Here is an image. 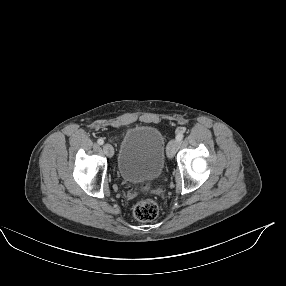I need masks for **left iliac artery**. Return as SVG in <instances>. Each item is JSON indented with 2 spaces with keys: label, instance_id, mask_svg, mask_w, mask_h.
Returning <instances> with one entry per match:
<instances>
[{
  "label": "left iliac artery",
  "instance_id": "obj_1",
  "mask_svg": "<svg viewBox=\"0 0 286 286\" xmlns=\"http://www.w3.org/2000/svg\"><path fill=\"white\" fill-rule=\"evenodd\" d=\"M183 137H184V134H183V132L181 131V132H179V133L176 135V140H177L178 142H180V141L183 139Z\"/></svg>",
  "mask_w": 286,
  "mask_h": 286
}]
</instances>
